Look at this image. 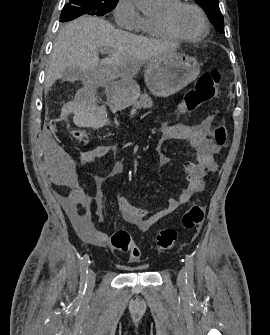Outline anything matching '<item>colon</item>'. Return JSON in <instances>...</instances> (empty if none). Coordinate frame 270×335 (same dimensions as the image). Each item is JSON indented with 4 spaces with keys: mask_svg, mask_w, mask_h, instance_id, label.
Here are the masks:
<instances>
[{
    "mask_svg": "<svg viewBox=\"0 0 270 335\" xmlns=\"http://www.w3.org/2000/svg\"><path fill=\"white\" fill-rule=\"evenodd\" d=\"M221 73L217 69L203 72L197 79L193 89L190 90L178 105V113L192 112L203 103L210 101L220 87ZM73 138L80 144H85L89 135L84 129H74ZM215 142L223 146L228 140L227 131L223 126L214 130ZM204 218L203 206L199 203L191 204L181 218L180 225L183 229H194L202 224ZM178 231L174 227H165L156 236V249L162 252L170 250L178 238ZM111 247L119 252H126L132 261H137L142 256V251L135 246L130 233L126 229L116 230L111 237Z\"/></svg>",
    "mask_w": 270,
    "mask_h": 335,
    "instance_id": "colon-1",
    "label": "colon"
}]
</instances>
